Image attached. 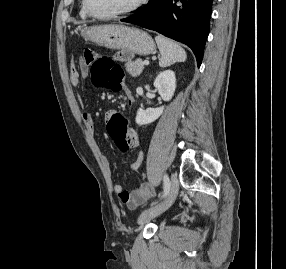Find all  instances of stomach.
I'll list each match as a JSON object with an SVG mask.
<instances>
[{
  "instance_id": "0dacf381",
  "label": "stomach",
  "mask_w": 286,
  "mask_h": 269,
  "mask_svg": "<svg viewBox=\"0 0 286 269\" xmlns=\"http://www.w3.org/2000/svg\"><path fill=\"white\" fill-rule=\"evenodd\" d=\"M82 35L97 45L113 50L134 49V54L144 56L154 53L156 49L152 37L135 27L99 25L85 28Z\"/></svg>"
}]
</instances>
